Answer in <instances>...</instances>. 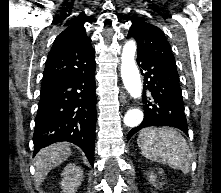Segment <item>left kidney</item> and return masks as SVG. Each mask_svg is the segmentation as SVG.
I'll list each match as a JSON object with an SVG mask.
<instances>
[{"label": "left kidney", "instance_id": "obj_1", "mask_svg": "<svg viewBox=\"0 0 221 193\" xmlns=\"http://www.w3.org/2000/svg\"><path fill=\"white\" fill-rule=\"evenodd\" d=\"M160 174H162V172H160ZM156 178H157V176L153 172H151L150 175L148 176L149 182L152 183L153 185L156 184L155 183L156 182Z\"/></svg>", "mask_w": 221, "mask_h": 193}]
</instances>
